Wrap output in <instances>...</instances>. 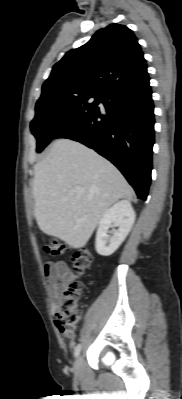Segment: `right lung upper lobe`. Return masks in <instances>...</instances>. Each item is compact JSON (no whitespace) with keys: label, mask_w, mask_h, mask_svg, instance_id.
<instances>
[{"label":"right lung upper lobe","mask_w":182,"mask_h":399,"mask_svg":"<svg viewBox=\"0 0 182 399\" xmlns=\"http://www.w3.org/2000/svg\"><path fill=\"white\" fill-rule=\"evenodd\" d=\"M146 77L147 64L134 33L124 25L111 24L53 66L37 103L62 96L104 95Z\"/></svg>","instance_id":"cb5924a9"}]
</instances>
